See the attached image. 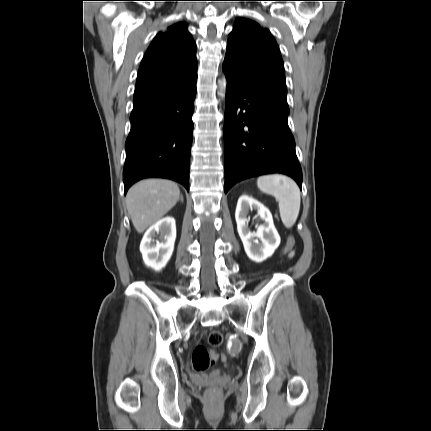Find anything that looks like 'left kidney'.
Returning <instances> with one entry per match:
<instances>
[{
	"mask_svg": "<svg viewBox=\"0 0 431 431\" xmlns=\"http://www.w3.org/2000/svg\"><path fill=\"white\" fill-rule=\"evenodd\" d=\"M250 210H256L259 222H263L257 225L256 232H251L248 227L247 215ZM235 219L247 256L258 263L271 257L280 244V236L274 226L270 211L257 200L242 195L237 202ZM255 238L260 239V242Z\"/></svg>",
	"mask_w": 431,
	"mask_h": 431,
	"instance_id": "left-kidney-1",
	"label": "left kidney"
}]
</instances>
